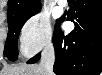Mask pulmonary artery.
<instances>
[{
	"instance_id": "obj_1",
	"label": "pulmonary artery",
	"mask_w": 102,
	"mask_h": 75,
	"mask_svg": "<svg viewBox=\"0 0 102 75\" xmlns=\"http://www.w3.org/2000/svg\"><path fill=\"white\" fill-rule=\"evenodd\" d=\"M58 2L59 4L64 5L66 3V0H59Z\"/></svg>"
}]
</instances>
